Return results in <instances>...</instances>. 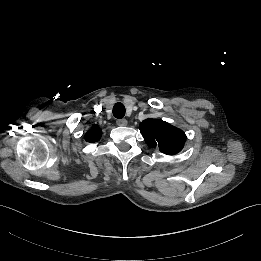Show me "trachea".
I'll return each instance as SVG.
<instances>
[{
	"mask_svg": "<svg viewBox=\"0 0 261 261\" xmlns=\"http://www.w3.org/2000/svg\"><path fill=\"white\" fill-rule=\"evenodd\" d=\"M126 113V109L122 103H116L113 107V115L115 118H123Z\"/></svg>",
	"mask_w": 261,
	"mask_h": 261,
	"instance_id": "1",
	"label": "trachea"
}]
</instances>
